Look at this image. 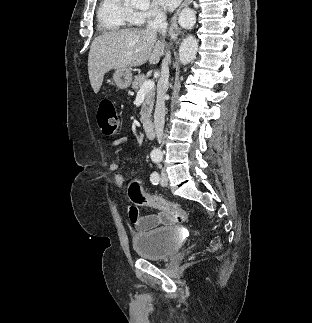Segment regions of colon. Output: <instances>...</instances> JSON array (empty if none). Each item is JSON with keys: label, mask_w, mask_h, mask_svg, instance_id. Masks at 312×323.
<instances>
[{"label": "colon", "mask_w": 312, "mask_h": 323, "mask_svg": "<svg viewBox=\"0 0 312 323\" xmlns=\"http://www.w3.org/2000/svg\"><path fill=\"white\" fill-rule=\"evenodd\" d=\"M97 124L101 134L106 137H111L118 133L120 122L111 98L107 97L100 100L97 109ZM128 182L130 183L128 194L136 204L150 205L153 208L172 213L179 222L186 219V211L180 205L172 204L171 202L156 196H146L143 194L139 185L142 183L141 177H130ZM129 214L131 218L135 219L137 217L136 209L133 207L129 208Z\"/></svg>", "instance_id": "colon-1"}]
</instances>
